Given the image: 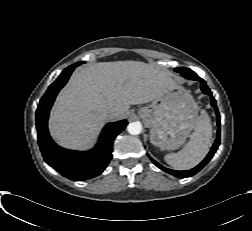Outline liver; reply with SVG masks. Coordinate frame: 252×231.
I'll list each match as a JSON object with an SVG mask.
<instances>
[{
  "label": "liver",
  "instance_id": "liver-1",
  "mask_svg": "<svg viewBox=\"0 0 252 231\" xmlns=\"http://www.w3.org/2000/svg\"><path fill=\"white\" fill-rule=\"evenodd\" d=\"M175 88L168 71L140 61L99 62L73 73L52 108L49 129L63 147L90 146L109 119ZM116 114L108 116L106 111Z\"/></svg>",
  "mask_w": 252,
  "mask_h": 231
}]
</instances>
